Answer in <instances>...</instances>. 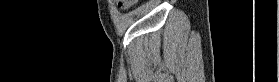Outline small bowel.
Instances as JSON below:
<instances>
[{
    "mask_svg": "<svg viewBox=\"0 0 279 82\" xmlns=\"http://www.w3.org/2000/svg\"><path fill=\"white\" fill-rule=\"evenodd\" d=\"M118 7H119L120 9H126V8H128L126 5L121 4V3H118Z\"/></svg>",
    "mask_w": 279,
    "mask_h": 82,
    "instance_id": "obj_1",
    "label": "small bowel"
}]
</instances>
